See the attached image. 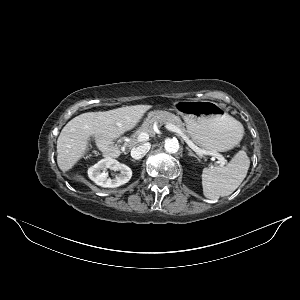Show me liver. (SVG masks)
Segmentation results:
<instances>
[{"mask_svg": "<svg viewBox=\"0 0 300 300\" xmlns=\"http://www.w3.org/2000/svg\"><path fill=\"white\" fill-rule=\"evenodd\" d=\"M148 105L126 106L105 112L76 116L62 129L57 140V163L67 172L86 154L91 137L116 139L132 130L142 119Z\"/></svg>", "mask_w": 300, "mask_h": 300, "instance_id": "1", "label": "liver"}]
</instances>
